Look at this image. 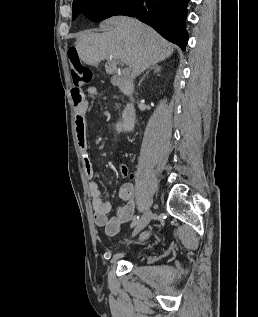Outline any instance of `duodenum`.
Returning a JSON list of instances; mask_svg holds the SVG:
<instances>
[{
  "instance_id": "duodenum-1",
  "label": "duodenum",
  "mask_w": 258,
  "mask_h": 317,
  "mask_svg": "<svg viewBox=\"0 0 258 317\" xmlns=\"http://www.w3.org/2000/svg\"><path fill=\"white\" fill-rule=\"evenodd\" d=\"M73 104L79 108L85 103V91L81 87H75L71 91Z\"/></svg>"
}]
</instances>
